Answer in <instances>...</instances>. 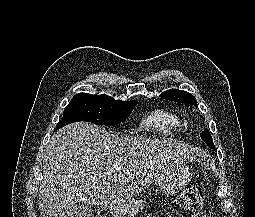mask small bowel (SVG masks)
I'll return each instance as SVG.
<instances>
[{
    "instance_id": "small-bowel-1",
    "label": "small bowel",
    "mask_w": 255,
    "mask_h": 217,
    "mask_svg": "<svg viewBox=\"0 0 255 217\" xmlns=\"http://www.w3.org/2000/svg\"><path fill=\"white\" fill-rule=\"evenodd\" d=\"M202 217H211V216L206 214V215H204V216H202Z\"/></svg>"
}]
</instances>
